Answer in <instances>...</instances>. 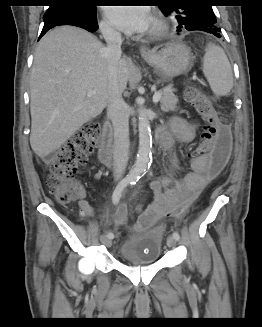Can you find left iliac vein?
I'll use <instances>...</instances> for the list:
<instances>
[{"label": "left iliac vein", "mask_w": 262, "mask_h": 327, "mask_svg": "<svg viewBox=\"0 0 262 327\" xmlns=\"http://www.w3.org/2000/svg\"><path fill=\"white\" fill-rule=\"evenodd\" d=\"M175 245H176V240L174 239L173 236H169V237L167 238V246H168L169 248H174Z\"/></svg>", "instance_id": "left-iliac-vein-1"}]
</instances>
